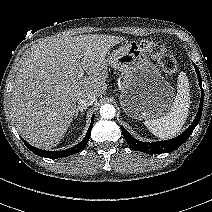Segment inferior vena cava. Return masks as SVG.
I'll return each instance as SVG.
<instances>
[{"mask_svg":"<svg viewBox=\"0 0 212 212\" xmlns=\"http://www.w3.org/2000/svg\"><path fill=\"white\" fill-rule=\"evenodd\" d=\"M78 104L81 106H90L96 101V96L92 93H80L77 97Z\"/></svg>","mask_w":212,"mask_h":212,"instance_id":"obj_1","label":"inferior vena cava"}]
</instances>
